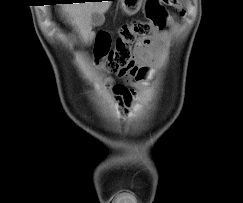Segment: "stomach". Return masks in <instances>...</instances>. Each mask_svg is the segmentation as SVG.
Wrapping results in <instances>:
<instances>
[{"mask_svg": "<svg viewBox=\"0 0 243 203\" xmlns=\"http://www.w3.org/2000/svg\"><path fill=\"white\" fill-rule=\"evenodd\" d=\"M144 0H120L122 10L128 14L133 15L137 13Z\"/></svg>", "mask_w": 243, "mask_h": 203, "instance_id": "stomach-1", "label": "stomach"}]
</instances>
